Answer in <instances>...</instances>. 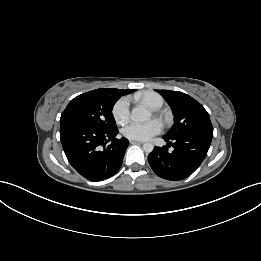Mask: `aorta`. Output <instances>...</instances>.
<instances>
[{"label":"aorta","instance_id":"1","mask_svg":"<svg viewBox=\"0 0 261 261\" xmlns=\"http://www.w3.org/2000/svg\"><path fill=\"white\" fill-rule=\"evenodd\" d=\"M151 117V113L149 110L144 107H135L131 112V119L135 122H145L148 121ZM154 149V145L152 143H144L143 150L146 153H151Z\"/></svg>","mask_w":261,"mask_h":261}]
</instances>
